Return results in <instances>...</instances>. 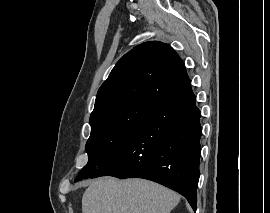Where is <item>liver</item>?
<instances>
[{
	"mask_svg": "<svg viewBox=\"0 0 270 213\" xmlns=\"http://www.w3.org/2000/svg\"><path fill=\"white\" fill-rule=\"evenodd\" d=\"M179 201L177 193L154 182L106 177L85 190L82 213H170Z\"/></svg>",
	"mask_w": 270,
	"mask_h": 213,
	"instance_id": "liver-1",
	"label": "liver"
}]
</instances>
